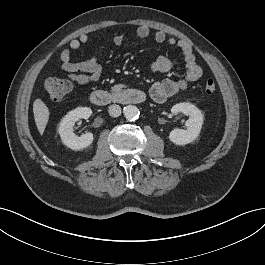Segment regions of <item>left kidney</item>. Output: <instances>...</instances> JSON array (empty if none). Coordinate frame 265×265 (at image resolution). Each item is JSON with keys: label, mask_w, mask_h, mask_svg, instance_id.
<instances>
[{"label": "left kidney", "mask_w": 265, "mask_h": 265, "mask_svg": "<svg viewBox=\"0 0 265 265\" xmlns=\"http://www.w3.org/2000/svg\"><path fill=\"white\" fill-rule=\"evenodd\" d=\"M173 114L183 113L188 116L187 129H174L170 132L169 139L176 145H185L193 142L200 134L204 122L202 112L188 102L178 103L171 108Z\"/></svg>", "instance_id": "left-kidney-1"}]
</instances>
